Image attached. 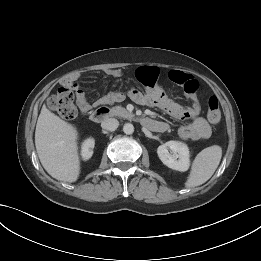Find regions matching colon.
Here are the masks:
<instances>
[{
    "label": "colon",
    "instance_id": "5ec220e1",
    "mask_svg": "<svg viewBox=\"0 0 261 261\" xmlns=\"http://www.w3.org/2000/svg\"><path fill=\"white\" fill-rule=\"evenodd\" d=\"M48 106L62 118L66 120L74 119L77 115V109L74 105L72 86L66 82L62 84L57 92L49 98ZM207 119L213 125H217L221 121V112L216 97L209 99Z\"/></svg>",
    "mask_w": 261,
    "mask_h": 261
}]
</instances>
